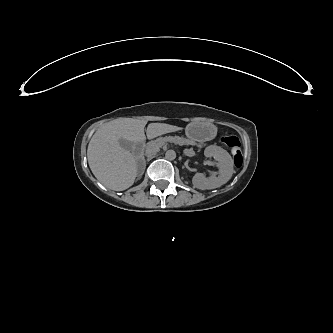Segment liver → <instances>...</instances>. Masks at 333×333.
<instances>
[{"instance_id": "liver-1", "label": "liver", "mask_w": 333, "mask_h": 333, "mask_svg": "<svg viewBox=\"0 0 333 333\" xmlns=\"http://www.w3.org/2000/svg\"><path fill=\"white\" fill-rule=\"evenodd\" d=\"M149 138L153 137L147 135ZM121 140L143 142L145 135L119 137L113 134L95 136L87 149L89 167L94 176L109 189L122 191L133 185L137 176L134 155L120 145Z\"/></svg>"}]
</instances>
